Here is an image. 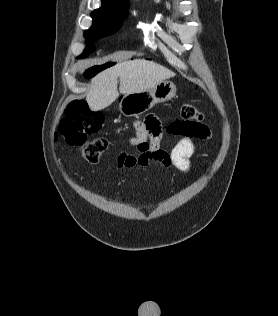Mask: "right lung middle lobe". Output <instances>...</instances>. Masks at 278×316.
<instances>
[{"label":"right lung middle lobe","mask_w":278,"mask_h":316,"mask_svg":"<svg viewBox=\"0 0 278 316\" xmlns=\"http://www.w3.org/2000/svg\"><path fill=\"white\" fill-rule=\"evenodd\" d=\"M93 18L92 27L85 31L87 49L79 56V58L87 57L93 50L95 42L99 37L107 36L115 33L122 25L123 19L127 16L125 10H102L97 9L91 14ZM97 72V69L89 70L88 75Z\"/></svg>","instance_id":"right-lung-middle-lobe-1"}]
</instances>
